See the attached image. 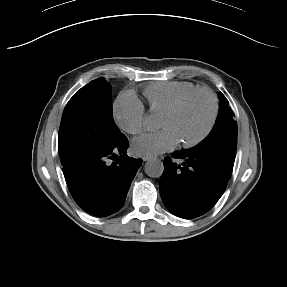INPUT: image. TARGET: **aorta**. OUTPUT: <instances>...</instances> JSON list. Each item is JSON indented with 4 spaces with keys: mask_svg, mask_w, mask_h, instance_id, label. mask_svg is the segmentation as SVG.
I'll use <instances>...</instances> for the list:
<instances>
[{
    "mask_svg": "<svg viewBox=\"0 0 287 287\" xmlns=\"http://www.w3.org/2000/svg\"><path fill=\"white\" fill-rule=\"evenodd\" d=\"M164 171L163 163L158 159H152L145 164V173L152 178L161 177Z\"/></svg>",
    "mask_w": 287,
    "mask_h": 287,
    "instance_id": "aorta-1",
    "label": "aorta"
}]
</instances>
